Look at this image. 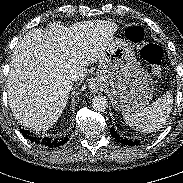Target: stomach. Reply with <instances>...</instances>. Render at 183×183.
I'll return each instance as SVG.
<instances>
[{"label": "stomach", "mask_w": 183, "mask_h": 183, "mask_svg": "<svg viewBox=\"0 0 183 183\" xmlns=\"http://www.w3.org/2000/svg\"><path fill=\"white\" fill-rule=\"evenodd\" d=\"M94 85L107 91L118 111L143 109L153 96V81L137 62L133 45L121 38H112L99 59Z\"/></svg>", "instance_id": "0dacf381"}]
</instances>
